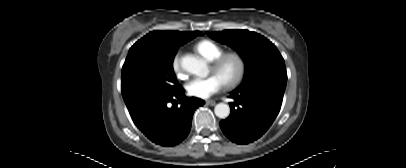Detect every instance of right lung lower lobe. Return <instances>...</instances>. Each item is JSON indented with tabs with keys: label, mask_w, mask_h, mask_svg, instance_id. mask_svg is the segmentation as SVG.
<instances>
[{
	"label": "right lung lower lobe",
	"mask_w": 406,
	"mask_h": 168,
	"mask_svg": "<svg viewBox=\"0 0 406 168\" xmlns=\"http://www.w3.org/2000/svg\"><path fill=\"white\" fill-rule=\"evenodd\" d=\"M180 86L169 95L159 99L131 115L135 125L152 142L162 146H174L184 140L191 128L193 113L204 101L186 97ZM180 101V106H177Z\"/></svg>",
	"instance_id": "98d812e1"
}]
</instances>
